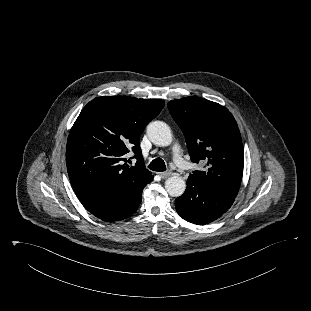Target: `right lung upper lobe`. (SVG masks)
<instances>
[{
  "mask_svg": "<svg viewBox=\"0 0 311 311\" xmlns=\"http://www.w3.org/2000/svg\"><path fill=\"white\" fill-rule=\"evenodd\" d=\"M163 107L160 99L103 96L82 109L66 148L67 171L77 196L130 199L150 183L153 175L144 166L139 138ZM130 150L135 166L124 158Z\"/></svg>",
  "mask_w": 311,
  "mask_h": 311,
  "instance_id": "1",
  "label": "right lung upper lobe"
}]
</instances>
